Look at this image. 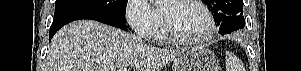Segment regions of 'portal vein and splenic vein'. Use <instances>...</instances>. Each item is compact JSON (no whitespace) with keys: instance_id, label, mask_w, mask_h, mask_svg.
<instances>
[{"instance_id":"1","label":"portal vein and splenic vein","mask_w":301,"mask_h":71,"mask_svg":"<svg viewBox=\"0 0 301 71\" xmlns=\"http://www.w3.org/2000/svg\"><path fill=\"white\" fill-rule=\"evenodd\" d=\"M118 71H127V67L120 68Z\"/></svg>"}]
</instances>
